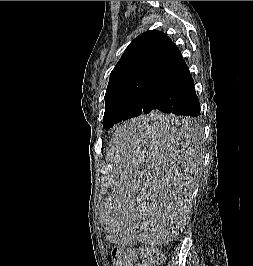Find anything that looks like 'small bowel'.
<instances>
[{
  "label": "small bowel",
  "mask_w": 253,
  "mask_h": 266,
  "mask_svg": "<svg viewBox=\"0 0 253 266\" xmlns=\"http://www.w3.org/2000/svg\"><path fill=\"white\" fill-rule=\"evenodd\" d=\"M129 266H133V262H131L130 264H129ZM138 266V265H137Z\"/></svg>",
  "instance_id": "c3829d8e"
}]
</instances>
